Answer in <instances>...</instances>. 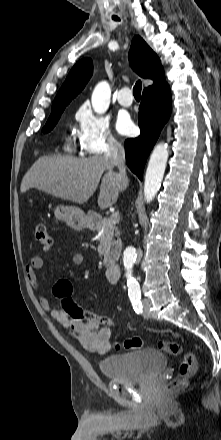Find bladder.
Instances as JSON below:
<instances>
[{"label":"bladder","instance_id":"1","mask_svg":"<svg viewBox=\"0 0 221 440\" xmlns=\"http://www.w3.org/2000/svg\"><path fill=\"white\" fill-rule=\"evenodd\" d=\"M167 365L166 356L155 349H138L101 361L105 378L125 384L145 382L157 376Z\"/></svg>","mask_w":221,"mask_h":440}]
</instances>
